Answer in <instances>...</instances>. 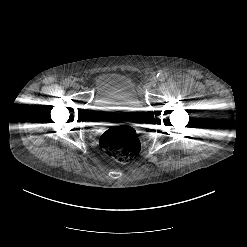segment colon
<instances>
[{
	"label": "colon",
	"mask_w": 247,
	"mask_h": 247,
	"mask_svg": "<svg viewBox=\"0 0 247 247\" xmlns=\"http://www.w3.org/2000/svg\"><path fill=\"white\" fill-rule=\"evenodd\" d=\"M102 150L119 163L132 161L140 152L141 143L131 127L110 128L99 139Z\"/></svg>",
	"instance_id": "5ec220e1"
}]
</instances>
